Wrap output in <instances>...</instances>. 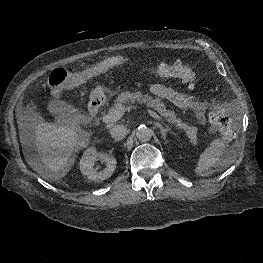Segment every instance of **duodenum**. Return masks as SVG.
I'll return each mask as SVG.
<instances>
[{
  "label": "duodenum",
  "instance_id": "obj_1",
  "mask_svg": "<svg viewBox=\"0 0 263 263\" xmlns=\"http://www.w3.org/2000/svg\"><path fill=\"white\" fill-rule=\"evenodd\" d=\"M100 107H101V103L100 101L98 100H92L90 103H89V112L92 114V115H97L99 110H100Z\"/></svg>",
  "mask_w": 263,
  "mask_h": 263
}]
</instances>
